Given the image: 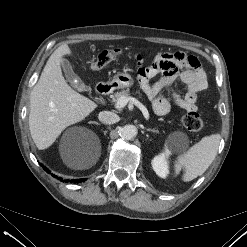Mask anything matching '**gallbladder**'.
I'll list each match as a JSON object with an SVG mask.
<instances>
[{
  "instance_id": "obj_1",
  "label": "gallbladder",
  "mask_w": 247,
  "mask_h": 247,
  "mask_svg": "<svg viewBox=\"0 0 247 247\" xmlns=\"http://www.w3.org/2000/svg\"><path fill=\"white\" fill-rule=\"evenodd\" d=\"M61 68L63 69L67 81L70 82L71 85L76 86L77 88L83 85L79 76L74 73L72 65L68 60L62 59Z\"/></svg>"
}]
</instances>
